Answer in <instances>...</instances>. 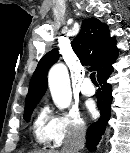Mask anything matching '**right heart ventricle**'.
Wrapping results in <instances>:
<instances>
[{
  "label": "right heart ventricle",
  "instance_id": "obj_1",
  "mask_svg": "<svg viewBox=\"0 0 130 153\" xmlns=\"http://www.w3.org/2000/svg\"><path fill=\"white\" fill-rule=\"evenodd\" d=\"M53 122L54 118L50 116L46 108L41 109L36 115L32 130L38 145L46 147L53 142Z\"/></svg>",
  "mask_w": 130,
  "mask_h": 153
}]
</instances>
